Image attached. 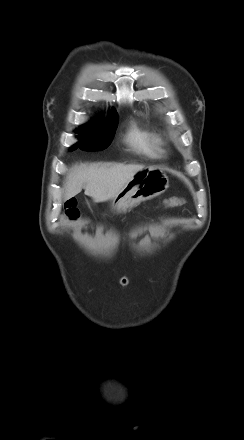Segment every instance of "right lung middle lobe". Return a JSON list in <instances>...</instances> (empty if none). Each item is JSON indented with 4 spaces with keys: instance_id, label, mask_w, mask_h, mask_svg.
<instances>
[{
    "instance_id": "1",
    "label": "right lung middle lobe",
    "mask_w": 244,
    "mask_h": 440,
    "mask_svg": "<svg viewBox=\"0 0 244 440\" xmlns=\"http://www.w3.org/2000/svg\"><path fill=\"white\" fill-rule=\"evenodd\" d=\"M116 128L117 123L107 126L104 131H99L95 127H81L79 129V136L77 137L79 141L72 146L71 150H75L78 147L87 151L103 150L111 143Z\"/></svg>"
}]
</instances>
